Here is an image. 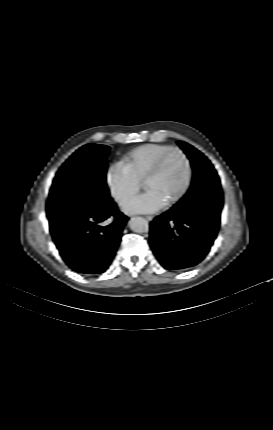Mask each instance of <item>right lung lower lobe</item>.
I'll use <instances>...</instances> for the list:
<instances>
[{
  "instance_id": "1",
  "label": "right lung lower lobe",
  "mask_w": 273,
  "mask_h": 430,
  "mask_svg": "<svg viewBox=\"0 0 273 430\" xmlns=\"http://www.w3.org/2000/svg\"><path fill=\"white\" fill-rule=\"evenodd\" d=\"M114 217L108 226L100 223ZM127 217L113 202L94 206L50 221V232L65 263L75 272L90 276L105 272L120 244Z\"/></svg>"
}]
</instances>
